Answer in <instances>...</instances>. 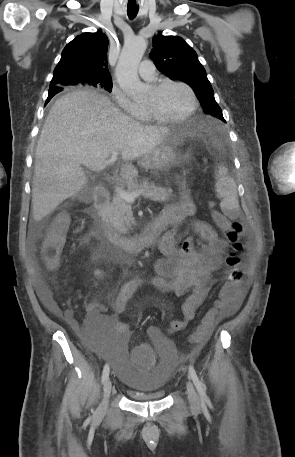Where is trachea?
I'll return each mask as SVG.
<instances>
[{"label": "trachea", "instance_id": "obj_1", "mask_svg": "<svg viewBox=\"0 0 295 457\" xmlns=\"http://www.w3.org/2000/svg\"><path fill=\"white\" fill-rule=\"evenodd\" d=\"M127 12H128L129 18L134 19L138 13V8H137L136 4L133 6L128 4Z\"/></svg>", "mask_w": 295, "mask_h": 457}]
</instances>
